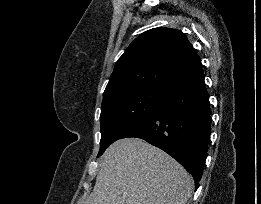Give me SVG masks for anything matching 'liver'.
<instances>
[{
  "mask_svg": "<svg viewBox=\"0 0 261 204\" xmlns=\"http://www.w3.org/2000/svg\"><path fill=\"white\" fill-rule=\"evenodd\" d=\"M102 159L92 193L78 204H186L191 197L187 171L142 139H120Z\"/></svg>",
  "mask_w": 261,
  "mask_h": 204,
  "instance_id": "liver-1",
  "label": "liver"
}]
</instances>
